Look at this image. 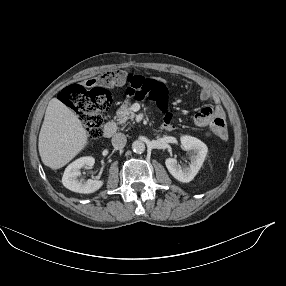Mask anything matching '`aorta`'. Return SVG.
<instances>
[{"instance_id": "obj_1", "label": "aorta", "mask_w": 286, "mask_h": 286, "mask_svg": "<svg viewBox=\"0 0 286 286\" xmlns=\"http://www.w3.org/2000/svg\"><path fill=\"white\" fill-rule=\"evenodd\" d=\"M132 149L135 153L141 154L145 151V144L140 140H136L132 143Z\"/></svg>"}]
</instances>
